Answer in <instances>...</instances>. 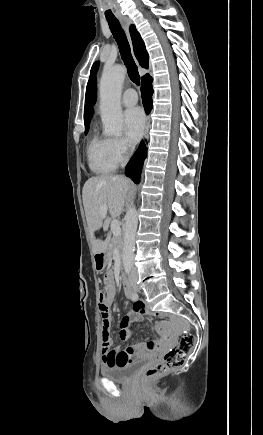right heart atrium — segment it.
Wrapping results in <instances>:
<instances>
[{
  "label": "right heart atrium",
  "instance_id": "d8ad5b80",
  "mask_svg": "<svg viewBox=\"0 0 263 435\" xmlns=\"http://www.w3.org/2000/svg\"><path fill=\"white\" fill-rule=\"evenodd\" d=\"M112 155L117 163H122L129 156L131 146L123 138L111 139Z\"/></svg>",
  "mask_w": 263,
  "mask_h": 435
}]
</instances>
